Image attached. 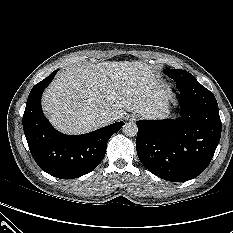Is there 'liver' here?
Masks as SVG:
<instances>
[{
	"label": "liver",
	"instance_id": "1",
	"mask_svg": "<svg viewBox=\"0 0 233 233\" xmlns=\"http://www.w3.org/2000/svg\"><path fill=\"white\" fill-rule=\"evenodd\" d=\"M167 100V91L150 65L120 61L63 70L46 89L42 104L59 131L83 134L103 127L97 119L104 114L112 122L126 111L145 118L161 117Z\"/></svg>",
	"mask_w": 233,
	"mask_h": 233
}]
</instances>
